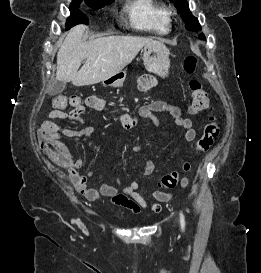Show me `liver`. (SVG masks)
<instances>
[{
  "label": "liver",
  "mask_w": 261,
  "mask_h": 273,
  "mask_svg": "<svg viewBox=\"0 0 261 273\" xmlns=\"http://www.w3.org/2000/svg\"><path fill=\"white\" fill-rule=\"evenodd\" d=\"M84 25L72 28L57 53L56 78L74 86L97 84L121 71L136 57L150 38L110 36L83 40ZM83 60L84 65L78 71Z\"/></svg>",
  "instance_id": "6515ba94"
}]
</instances>
